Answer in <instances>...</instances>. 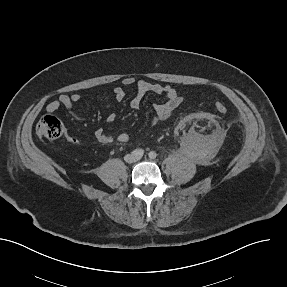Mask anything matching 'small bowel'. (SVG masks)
<instances>
[{
  "label": "small bowel",
  "mask_w": 287,
  "mask_h": 287,
  "mask_svg": "<svg viewBox=\"0 0 287 287\" xmlns=\"http://www.w3.org/2000/svg\"><path fill=\"white\" fill-rule=\"evenodd\" d=\"M122 84L125 87L136 88V93L132 98L130 105L133 109H138L141 105L143 97L148 94H164L166 100L162 103L154 105L153 117L151 124L155 125L159 121L165 120L172 115L175 109L181 104L182 97L178 94L176 89L169 84L153 83L145 80H136L134 77L127 76L123 78ZM114 98L117 102H121L125 99V91L122 87H116L113 90ZM81 95L74 93L71 95L62 94L57 99L49 102L46 106V110L49 113H54L61 107L65 108L66 111L76 120L82 121L84 117L77 113L75 105L80 102ZM115 120V115L110 114L108 121L112 122ZM95 139L102 144H112L115 140L121 143H127L130 141V136L127 133H120L116 137L105 132L103 129H98L94 132ZM66 141L69 144H78L79 139L73 135H68Z\"/></svg>",
  "instance_id": "c3829d8e"
}]
</instances>
